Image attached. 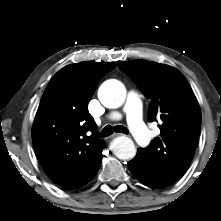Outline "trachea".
Segmentation results:
<instances>
[{"instance_id":"trachea-1","label":"trachea","mask_w":221,"mask_h":221,"mask_svg":"<svg viewBox=\"0 0 221 221\" xmlns=\"http://www.w3.org/2000/svg\"><path fill=\"white\" fill-rule=\"evenodd\" d=\"M113 132L128 134L127 128L122 125H116L115 127H112L111 125H107L101 131L100 138L107 137L111 135Z\"/></svg>"}]
</instances>
